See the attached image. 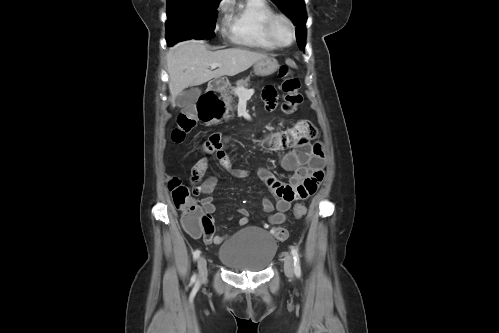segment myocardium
Instances as JSON below:
<instances>
[{"instance_id":"1","label":"myocardium","mask_w":499,"mask_h":333,"mask_svg":"<svg viewBox=\"0 0 499 333\" xmlns=\"http://www.w3.org/2000/svg\"><path fill=\"white\" fill-rule=\"evenodd\" d=\"M278 20L285 21L288 24V26H289L290 39L286 43L281 42L277 38V36L275 35L274 26H275V23ZM265 30H266V33H267L268 37L272 40V42L277 47H287V46H290L295 41V36H296L295 25H294L293 21L291 20V18L289 16H287L286 14H283V13H273L272 15H270L268 17V19L266 20Z\"/></svg>"}]
</instances>
